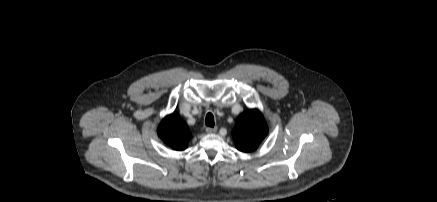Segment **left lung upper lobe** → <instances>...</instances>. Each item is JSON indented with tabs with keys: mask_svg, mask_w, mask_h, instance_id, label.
I'll return each mask as SVG.
<instances>
[{
	"mask_svg": "<svg viewBox=\"0 0 437 202\" xmlns=\"http://www.w3.org/2000/svg\"><path fill=\"white\" fill-rule=\"evenodd\" d=\"M267 134V124L257 109L243 112L232 132L236 147L242 152L256 150Z\"/></svg>",
	"mask_w": 437,
	"mask_h": 202,
	"instance_id": "left-lung-upper-lobe-1",
	"label": "left lung upper lobe"
}]
</instances>
